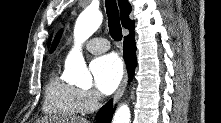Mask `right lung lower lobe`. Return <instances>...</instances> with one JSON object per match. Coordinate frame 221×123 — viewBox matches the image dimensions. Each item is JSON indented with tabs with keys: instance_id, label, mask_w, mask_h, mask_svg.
<instances>
[{
	"instance_id": "obj_1",
	"label": "right lung lower lobe",
	"mask_w": 221,
	"mask_h": 123,
	"mask_svg": "<svg viewBox=\"0 0 221 123\" xmlns=\"http://www.w3.org/2000/svg\"><path fill=\"white\" fill-rule=\"evenodd\" d=\"M123 50H124V60L127 65L129 73V80H131L134 75V70L137 64V59L135 54L136 45L134 40V34H129L128 36L124 37ZM112 113H113L112 100H110L97 113L96 122L110 123L112 119Z\"/></svg>"
}]
</instances>
